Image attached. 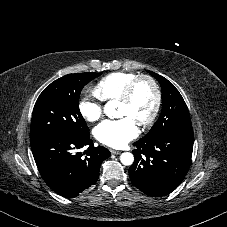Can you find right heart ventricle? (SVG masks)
I'll return each instance as SVG.
<instances>
[{
    "instance_id": "1",
    "label": "right heart ventricle",
    "mask_w": 227,
    "mask_h": 227,
    "mask_svg": "<svg viewBox=\"0 0 227 227\" xmlns=\"http://www.w3.org/2000/svg\"><path fill=\"white\" fill-rule=\"evenodd\" d=\"M135 77L137 75L131 72H113L96 84L94 92L102 101L118 100L126 86Z\"/></svg>"
}]
</instances>
